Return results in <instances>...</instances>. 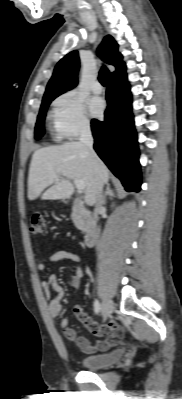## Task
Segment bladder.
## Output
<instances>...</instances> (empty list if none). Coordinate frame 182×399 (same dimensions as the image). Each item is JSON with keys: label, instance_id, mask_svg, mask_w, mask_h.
Returning <instances> with one entry per match:
<instances>
[{"label": "bladder", "instance_id": "obj_1", "mask_svg": "<svg viewBox=\"0 0 182 399\" xmlns=\"http://www.w3.org/2000/svg\"><path fill=\"white\" fill-rule=\"evenodd\" d=\"M123 355V349H114L104 354L85 356L81 358L80 363L85 369L98 370L115 363L120 360Z\"/></svg>", "mask_w": 182, "mask_h": 399}]
</instances>
